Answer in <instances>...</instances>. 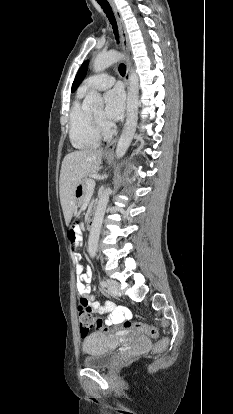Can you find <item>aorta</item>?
<instances>
[{
	"instance_id": "1",
	"label": "aorta",
	"mask_w": 233,
	"mask_h": 414,
	"mask_svg": "<svg viewBox=\"0 0 233 414\" xmlns=\"http://www.w3.org/2000/svg\"><path fill=\"white\" fill-rule=\"evenodd\" d=\"M124 55L117 51H109L107 53H100L96 56L93 69L95 72H101L111 66L112 64L123 60ZM84 104L91 108L102 107L103 99L100 93L91 91L84 99ZM138 105H139V80L134 69L130 71L129 87L127 96V119L123 132L118 140L116 147V157L121 158L129 148L133 136L135 134L137 120H138ZM111 189L107 188L100 196L97 208L94 213L92 226L88 240V252L90 257H95L100 230L105 214V210L109 201Z\"/></svg>"
}]
</instances>
